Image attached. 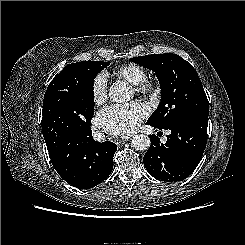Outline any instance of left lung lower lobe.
Wrapping results in <instances>:
<instances>
[{"label":"left lung lower lobe","mask_w":245,"mask_h":245,"mask_svg":"<svg viewBox=\"0 0 245 245\" xmlns=\"http://www.w3.org/2000/svg\"><path fill=\"white\" fill-rule=\"evenodd\" d=\"M154 128H162L147 123ZM208 117L193 116L171 130L162 144L156 135H150L151 146L144 155L146 170L156 179L178 182L186 179L199 164L207 142Z\"/></svg>","instance_id":"left-lung-lower-lobe-1"}]
</instances>
